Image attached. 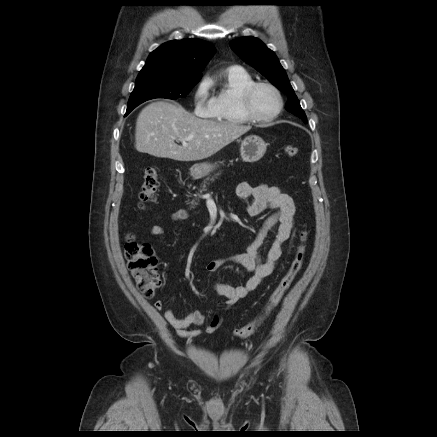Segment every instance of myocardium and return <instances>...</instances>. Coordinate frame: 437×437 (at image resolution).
<instances>
[{"mask_svg":"<svg viewBox=\"0 0 437 437\" xmlns=\"http://www.w3.org/2000/svg\"><path fill=\"white\" fill-rule=\"evenodd\" d=\"M260 87H267L271 89L276 95L278 101V107L276 111L271 116L268 117H261L257 115L253 110V106H252L253 95L255 91ZM241 106L245 116L250 121L258 122V123H267L275 120L281 114L284 106V101L280 90L274 84L267 81H257V82H253L252 84H250L244 89L241 95Z\"/></svg>","mask_w":437,"mask_h":437,"instance_id":"obj_1","label":"myocardium"}]
</instances>
